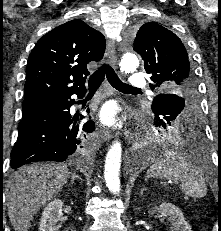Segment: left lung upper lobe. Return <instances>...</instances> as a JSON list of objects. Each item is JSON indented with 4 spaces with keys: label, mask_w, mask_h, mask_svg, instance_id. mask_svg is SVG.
Returning <instances> with one entry per match:
<instances>
[{
    "label": "left lung upper lobe",
    "mask_w": 221,
    "mask_h": 231,
    "mask_svg": "<svg viewBox=\"0 0 221 231\" xmlns=\"http://www.w3.org/2000/svg\"><path fill=\"white\" fill-rule=\"evenodd\" d=\"M133 48L143 59L146 72L151 74V89L169 93L175 100V104L165 105L153 100L155 122L162 112L175 116L185 105L192 106L197 101L192 60L172 31L154 22L145 23L136 33Z\"/></svg>",
    "instance_id": "obj_1"
}]
</instances>
